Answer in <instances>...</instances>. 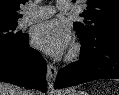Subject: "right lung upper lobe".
<instances>
[{
	"label": "right lung upper lobe",
	"mask_w": 119,
	"mask_h": 95,
	"mask_svg": "<svg viewBox=\"0 0 119 95\" xmlns=\"http://www.w3.org/2000/svg\"><path fill=\"white\" fill-rule=\"evenodd\" d=\"M24 0H0V26L16 24L22 15L18 13Z\"/></svg>",
	"instance_id": "obj_1"
}]
</instances>
